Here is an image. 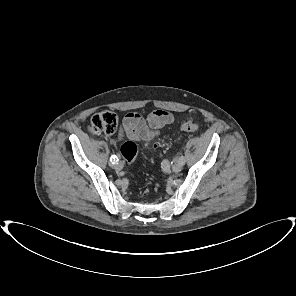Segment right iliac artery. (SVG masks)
Returning a JSON list of instances; mask_svg holds the SVG:
<instances>
[{"instance_id": "right-iliac-artery-1", "label": "right iliac artery", "mask_w": 296, "mask_h": 296, "mask_svg": "<svg viewBox=\"0 0 296 296\" xmlns=\"http://www.w3.org/2000/svg\"><path fill=\"white\" fill-rule=\"evenodd\" d=\"M111 164H116L118 162V157L116 155L111 156L110 158Z\"/></svg>"}]
</instances>
